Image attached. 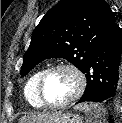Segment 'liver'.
Segmentation results:
<instances>
[{
	"instance_id": "obj_1",
	"label": "liver",
	"mask_w": 122,
	"mask_h": 123,
	"mask_svg": "<svg viewBox=\"0 0 122 123\" xmlns=\"http://www.w3.org/2000/svg\"><path fill=\"white\" fill-rule=\"evenodd\" d=\"M50 117L49 113L32 114L23 116L18 123H44Z\"/></svg>"
}]
</instances>
